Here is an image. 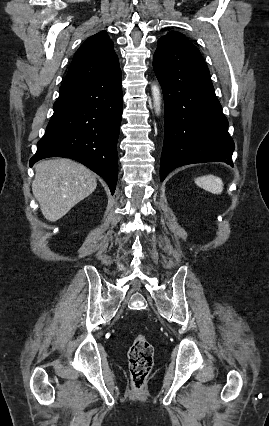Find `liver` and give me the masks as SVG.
I'll list each match as a JSON object with an SVG mask.
<instances>
[{"label":"liver","instance_id":"6515ba94","mask_svg":"<svg viewBox=\"0 0 269 426\" xmlns=\"http://www.w3.org/2000/svg\"><path fill=\"white\" fill-rule=\"evenodd\" d=\"M95 175L70 159H49L36 164L33 195L44 217L55 222L94 192Z\"/></svg>","mask_w":269,"mask_h":426}]
</instances>
